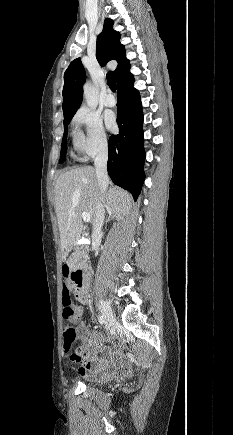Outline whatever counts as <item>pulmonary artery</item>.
I'll list each match as a JSON object with an SVG mask.
<instances>
[{"instance_id": "1", "label": "pulmonary artery", "mask_w": 233, "mask_h": 435, "mask_svg": "<svg viewBox=\"0 0 233 435\" xmlns=\"http://www.w3.org/2000/svg\"><path fill=\"white\" fill-rule=\"evenodd\" d=\"M116 104V98L115 96L111 93L108 92L106 99H105V105L109 106V107H113Z\"/></svg>"}]
</instances>
